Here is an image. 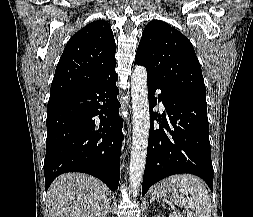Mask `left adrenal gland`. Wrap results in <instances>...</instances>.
I'll use <instances>...</instances> for the list:
<instances>
[{
    "label": "left adrenal gland",
    "instance_id": "obj_1",
    "mask_svg": "<svg viewBox=\"0 0 253 217\" xmlns=\"http://www.w3.org/2000/svg\"><path fill=\"white\" fill-rule=\"evenodd\" d=\"M153 200H154V197H152L151 201H153Z\"/></svg>",
    "mask_w": 253,
    "mask_h": 217
}]
</instances>
